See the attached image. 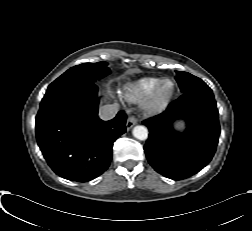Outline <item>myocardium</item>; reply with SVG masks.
<instances>
[{
	"label": "myocardium",
	"mask_w": 252,
	"mask_h": 231,
	"mask_svg": "<svg viewBox=\"0 0 252 231\" xmlns=\"http://www.w3.org/2000/svg\"><path fill=\"white\" fill-rule=\"evenodd\" d=\"M165 84H170V90L168 93L163 92V87ZM176 93L177 85L175 81L170 78H163L152 94L148 97L144 106L145 111L151 115L162 112L173 101Z\"/></svg>",
	"instance_id": "obj_1"
}]
</instances>
